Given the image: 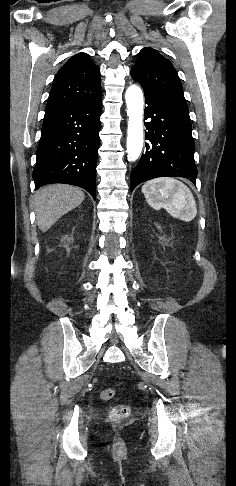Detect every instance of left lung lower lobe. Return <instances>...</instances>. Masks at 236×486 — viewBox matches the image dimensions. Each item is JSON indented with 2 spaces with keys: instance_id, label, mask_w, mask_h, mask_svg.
Returning a JSON list of instances; mask_svg holds the SVG:
<instances>
[{
  "instance_id": "1",
  "label": "left lung lower lobe",
  "mask_w": 236,
  "mask_h": 486,
  "mask_svg": "<svg viewBox=\"0 0 236 486\" xmlns=\"http://www.w3.org/2000/svg\"><path fill=\"white\" fill-rule=\"evenodd\" d=\"M144 94L149 143L145 144V151L132 170L130 190L157 177H184L196 184L195 144L189 114L171 107L150 91L144 90Z\"/></svg>"
}]
</instances>
